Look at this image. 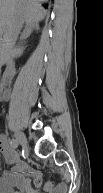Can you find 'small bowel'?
<instances>
[{"label":"small bowel","mask_w":103,"mask_h":193,"mask_svg":"<svg viewBox=\"0 0 103 193\" xmlns=\"http://www.w3.org/2000/svg\"><path fill=\"white\" fill-rule=\"evenodd\" d=\"M0 153L11 168L3 171L0 184V193H66V185L47 182L42 192V173L30 163L19 160L7 142L5 136L0 137ZM33 180V185L31 184Z\"/></svg>","instance_id":"1"}]
</instances>
